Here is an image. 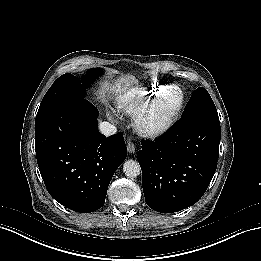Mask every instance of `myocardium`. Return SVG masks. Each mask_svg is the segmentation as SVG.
Segmentation results:
<instances>
[{
    "label": "myocardium",
    "instance_id": "1",
    "mask_svg": "<svg viewBox=\"0 0 261 261\" xmlns=\"http://www.w3.org/2000/svg\"><path fill=\"white\" fill-rule=\"evenodd\" d=\"M160 95L161 94H159L157 97L152 99L149 105L146 108H144V110L140 114L136 116L135 122L137 123L138 128H142L144 130L162 129L178 115L182 107V102H183L182 96L179 97L178 104L175 110L172 113H170L168 116L160 120H155L151 118V113L157 103V98L160 97Z\"/></svg>",
    "mask_w": 261,
    "mask_h": 261
}]
</instances>
